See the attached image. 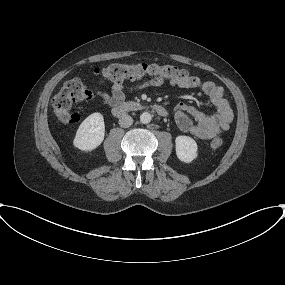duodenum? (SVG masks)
<instances>
[{
  "label": "duodenum",
  "instance_id": "410a0bca",
  "mask_svg": "<svg viewBox=\"0 0 285 285\" xmlns=\"http://www.w3.org/2000/svg\"><path fill=\"white\" fill-rule=\"evenodd\" d=\"M144 109H150L161 117H166L168 115L167 110L159 104L143 105L135 102L121 103L112 109V113L114 116L120 117L127 113L141 111Z\"/></svg>",
  "mask_w": 285,
  "mask_h": 285
}]
</instances>
